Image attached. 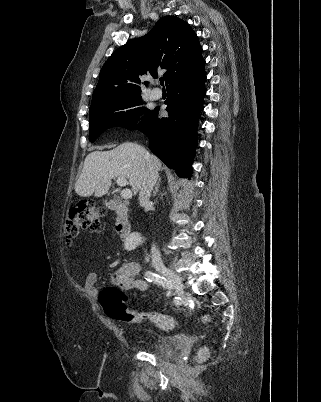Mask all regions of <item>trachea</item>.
Masks as SVG:
<instances>
[{
    "label": "trachea",
    "instance_id": "trachea-1",
    "mask_svg": "<svg viewBox=\"0 0 321 402\" xmlns=\"http://www.w3.org/2000/svg\"><path fill=\"white\" fill-rule=\"evenodd\" d=\"M160 84L163 86L164 85V79L160 78Z\"/></svg>",
    "mask_w": 321,
    "mask_h": 402
}]
</instances>
